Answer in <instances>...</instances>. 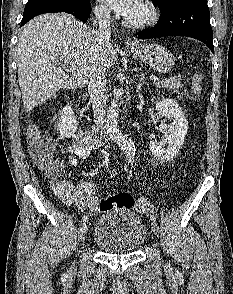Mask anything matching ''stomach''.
I'll use <instances>...</instances> for the list:
<instances>
[{"label": "stomach", "mask_w": 233, "mask_h": 294, "mask_svg": "<svg viewBox=\"0 0 233 294\" xmlns=\"http://www.w3.org/2000/svg\"><path fill=\"white\" fill-rule=\"evenodd\" d=\"M130 52L159 73L169 72L174 65L172 53L159 44H143Z\"/></svg>", "instance_id": "obj_1"}]
</instances>
